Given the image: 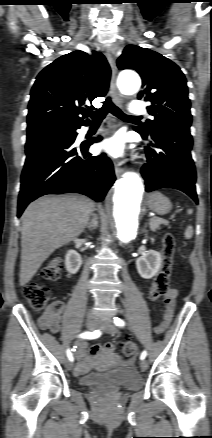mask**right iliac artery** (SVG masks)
<instances>
[{"instance_id": "obj_1", "label": "right iliac artery", "mask_w": 212, "mask_h": 438, "mask_svg": "<svg viewBox=\"0 0 212 438\" xmlns=\"http://www.w3.org/2000/svg\"><path fill=\"white\" fill-rule=\"evenodd\" d=\"M100 335H101L100 330H95V331H93V332L86 331V332L80 334L79 337H80V338H83V339H96V338H98ZM66 354H67V357H68V359H69L70 361H73V360H74V357H73V355H72L70 349H67Z\"/></svg>"}]
</instances>
